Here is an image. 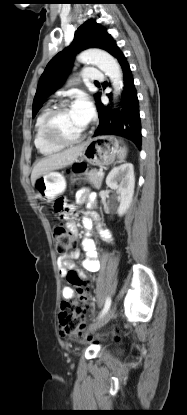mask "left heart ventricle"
Returning a JSON list of instances; mask_svg holds the SVG:
<instances>
[{
  "label": "left heart ventricle",
  "mask_w": 187,
  "mask_h": 415,
  "mask_svg": "<svg viewBox=\"0 0 187 415\" xmlns=\"http://www.w3.org/2000/svg\"><path fill=\"white\" fill-rule=\"evenodd\" d=\"M85 126L81 118L73 111L72 107L62 111L55 121L56 131L65 138L77 136L84 130Z\"/></svg>",
  "instance_id": "left-heart-ventricle-1"
}]
</instances>
